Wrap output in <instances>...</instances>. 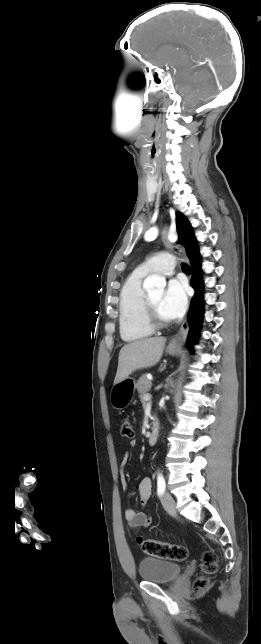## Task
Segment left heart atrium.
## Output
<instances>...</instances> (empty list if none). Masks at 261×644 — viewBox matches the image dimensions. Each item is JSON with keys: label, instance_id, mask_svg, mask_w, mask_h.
<instances>
[{"label": "left heart atrium", "instance_id": "1", "mask_svg": "<svg viewBox=\"0 0 261 644\" xmlns=\"http://www.w3.org/2000/svg\"><path fill=\"white\" fill-rule=\"evenodd\" d=\"M187 306L186 289L182 281L171 279L163 294L161 308L168 319H176L183 315Z\"/></svg>", "mask_w": 261, "mask_h": 644}]
</instances>
